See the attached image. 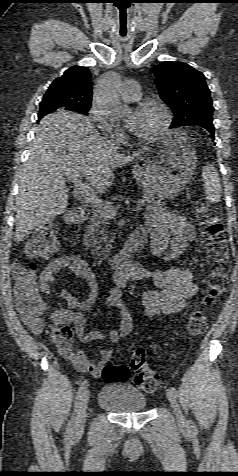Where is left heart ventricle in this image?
I'll return each mask as SVG.
<instances>
[{
    "label": "left heart ventricle",
    "mask_w": 238,
    "mask_h": 476,
    "mask_svg": "<svg viewBox=\"0 0 238 476\" xmlns=\"http://www.w3.org/2000/svg\"><path fill=\"white\" fill-rule=\"evenodd\" d=\"M162 113L155 107H146L127 115V122L134 120L132 131L138 136H146L154 131L162 122Z\"/></svg>",
    "instance_id": "1"
}]
</instances>
